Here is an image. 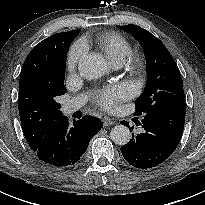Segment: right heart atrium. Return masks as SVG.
Wrapping results in <instances>:
<instances>
[{
    "mask_svg": "<svg viewBox=\"0 0 205 205\" xmlns=\"http://www.w3.org/2000/svg\"><path fill=\"white\" fill-rule=\"evenodd\" d=\"M85 52V46L81 42H75L69 49L67 55V67L70 71H73L81 57Z\"/></svg>",
    "mask_w": 205,
    "mask_h": 205,
    "instance_id": "obj_1",
    "label": "right heart atrium"
}]
</instances>
